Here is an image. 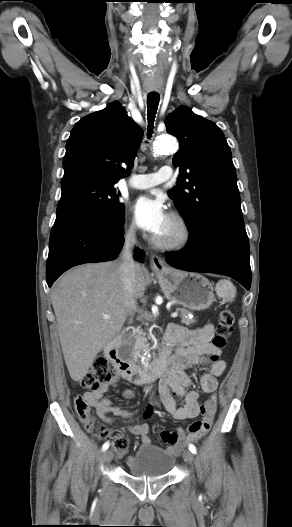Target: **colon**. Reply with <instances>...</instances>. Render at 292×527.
I'll return each mask as SVG.
<instances>
[{"label":"colon","instance_id":"colon-1","mask_svg":"<svg viewBox=\"0 0 292 527\" xmlns=\"http://www.w3.org/2000/svg\"><path fill=\"white\" fill-rule=\"evenodd\" d=\"M234 314L229 309L221 311L219 320L216 325V332L212 339L213 346L218 349H224L228 344V339L233 332ZM218 360L217 355H209L210 364ZM111 379V368L109 361L104 357L97 358L87 373L80 380V385L90 391H95L100 386ZM74 406L78 418L85 425L86 429L96 433L99 437L107 438L111 441L112 448L118 456L124 455L129 447V441L121 429H107L103 426L95 425L91 408L84 396H77L74 400ZM152 413V407L146 411V415Z\"/></svg>","mask_w":292,"mask_h":527}]
</instances>
